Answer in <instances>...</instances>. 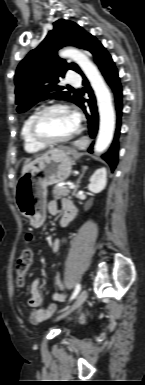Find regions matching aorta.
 <instances>
[{
	"mask_svg": "<svg viewBox=\"0 0 145 385\" xmlns=\"http://www.w3.org/2000/svg\"><path fill=\"white\" fill-rule=\"evenodd\" d=\"M64 58H71L88 78L97 98L100 115L99 133L94 147L95 152H104L112 141L115 128V113L111 94L97 67L81 51L67 47L59 52Z\"/></svg>",
	"mask_w": 145,
	"mask_h": 385,
	"instance_id": "obj_1",
	"label": "aorta"
}]
</instances>
